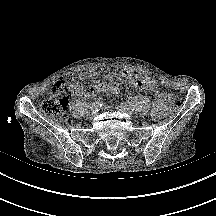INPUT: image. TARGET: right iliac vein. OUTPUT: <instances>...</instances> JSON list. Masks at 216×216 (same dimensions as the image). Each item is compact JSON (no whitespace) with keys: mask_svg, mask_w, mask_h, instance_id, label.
<instances>
[{"mask_svg":"<svg viewBox=\"0 0 216 216\" xmlns=\"http://www.w3.org/2000/svg\"><path fill=\"white\" fill-rule=\"evenodd\" d=\"M95 115H96V111L93 110V109L88 113V117H89L90 119L94 118Z\"/></svg>","mask_w":216,"mask_h":216,"instance_id":"obj_1","label":"right iliac vein"}]
</instances>
